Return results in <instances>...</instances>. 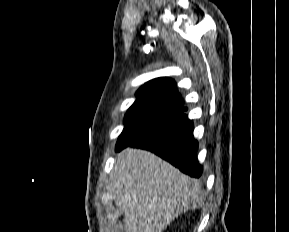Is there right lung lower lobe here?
<instances>
[{"instance_id": "obj_1", "label": "right lung lower lobe", "mask_w": 289, "mask_h": 232, "mask_svg": "<svg viewBox=\"0 0 289 232\" xmlns=\"http://www.w3.org/2000/svg\"><path fill=\"white\" fill-rule=\"evenodd\" d=\"M192 131L193 123L182 115L128 146L150 150L191 177H200L203 169L197 160L198 142Z\"/></svg>"}]
</instances>
